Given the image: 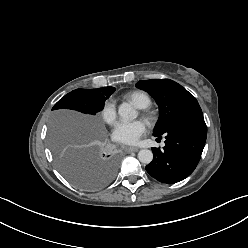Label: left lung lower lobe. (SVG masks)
<instances>
[{
    "mask_svg": "<svg viewBox=\"0 0 248 248\" xmlns=\"http://www.w3.org/2000/svg\"><path fill=\"white\" fill-rule=\"evenodd\" d=\"M163 150L152 148L153 160L147 172L163 183L187 178L196 168L206 142L207 126L201 108L178 119L164 134ZM161 139V135L157 136Z\"/></svg>",
    "mask_w": 248,
    "mask_h": 248,
    "instance_id": "left-lung-lower-lobe-1",
    "label": "left lung lower lobe"
}]
</instances>
